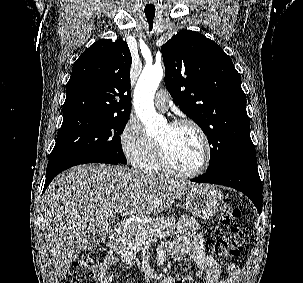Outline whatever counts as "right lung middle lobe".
I'll return each instance as SVG.
<instances>
[{
  "instance_id": "obj_1",
  "label": "right lung middle lobe",
  "mask_w": 303,
  "mask_h": 283,
  "mask_svg": "<svg viewBox=\"0 0 303 283\" xmlns=\"http://www.w3.org/2000/svg\"><path fill=\"white\" fill-rule=\"evenodd\" d=\"M128 119L91 113L64 117L49 162L65 158L102 157L126 164L120 134Z\"/></svg>"
}]
</instances>
